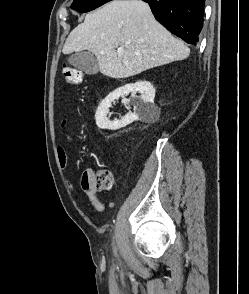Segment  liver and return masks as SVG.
<instances>
[{"label":"liver","instance_id":"6515ba94","mask_svg":"<svg viewBox=\"0 0 249 294\" xmlns=\"http://www.w3.org/2000/svg\"><path fill=\"white\" fill-rule=\"evenodd\" d=\"M118 48L123 49L121 55ZM83 50L96 56L103 75L116 79L184 60L190 54L183 41L158 23L141 0H113L87 14L69 34L62 52Z\"/></svg>","mask_w":249,"mask_h":294}]
</instances>
